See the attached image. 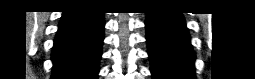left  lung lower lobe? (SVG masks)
<instances>
[{"label":"left lung lower lobe","instance_id":"left-lung-lower-lobe-1","mask_svg":"<svg viewBox=\"0 0 255 79\" xmlns=\"http://www.w3.org/2000/svg\"><path fill=\"white\" fill-rule=\"evenodd\" d=\"M153 79H194V59L180 13L148 12L145 22Z\"/></svg>","mask_w":255,"mask_h":79}]
</instances>
